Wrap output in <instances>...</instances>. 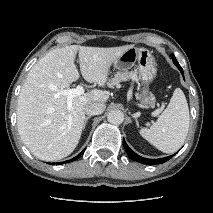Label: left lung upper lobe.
<instances>
[{
  "mask_svg": "<svg viewBox=\"0 0 213 213\" xmlns=\"http://www.w3.org/2000/svg\"><path fill=\"white\" fill-rule=\"evenodd\" d=\"M171 57H172V60H173L174 64L177 66V68H178V67H181V66L179 65V63L177 62L175 56L172 55Z\"/></svg>",
  "mask_w": 213,
  "mask_h": 213,
  "instance_id": "5c2ea615",
  "label": "left lung upper lobe"
}]
</instances>
